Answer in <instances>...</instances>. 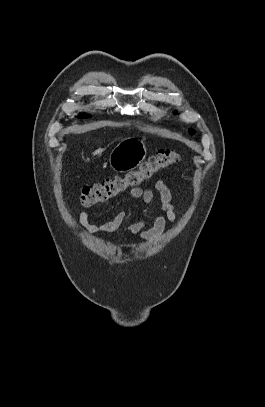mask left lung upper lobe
I'll return each instance as SVG.
<instances>
[{
    "label": "left lung upper lobe",
    "instance_id": "left-lung-upper-lobe-1",
    "mask_svg": "<svg viewBox=\"0 0 265 407\" xmlns=\"http://www.w3.org/2000/svg\"><path fill=\"white\" fill-rule=\"evenodd\" d=\"M189 133H190V134H194V130H189Z\"/></svg>",
    "mask_w": 265,
    "mask_h": 407
}]
</instances>
